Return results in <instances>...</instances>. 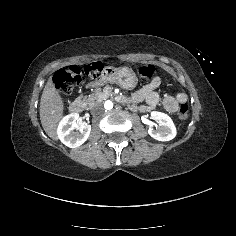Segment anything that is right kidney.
<instances>
[{"mask_svg":"<svg viewBox=\"0 0 236 236\" xmlns=\"http://www.w3.org/2000/svg\"><path fill=\"white\" fill-rule=\"evenodd\" d=\"M78 119L79 114L72 113L65 116L58 125V137L69 148L81 146L90 135L91 125L79 124L77 123Z\"/></svg>","mask_w":236,"mask_h":236,"instance_id":"right-kidney-1","label":"right kidney"}]
</instances>
